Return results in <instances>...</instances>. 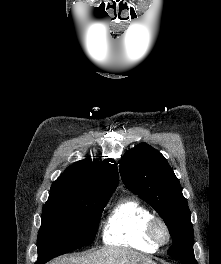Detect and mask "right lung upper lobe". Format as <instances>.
I'll return each instance as SVG.
<instances>
[{"label": "right lung upper lobe", "mask_w": 221, "mask_h": 264, "mask_svg": "<svg viewBox=\"0 0 221 264\" xmlns=\"http://www.w3.org/2000/svg\"><path fill=\"white\" fill-rule=\"evenodd\" d=\"M114 160L75 162L52 184L49 199L56 202H78L93 196L112 194L119 181Z\"/></svg>", "instance_id": "cb5924a9"}]
</instances>
